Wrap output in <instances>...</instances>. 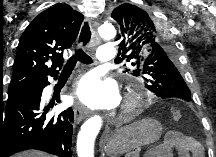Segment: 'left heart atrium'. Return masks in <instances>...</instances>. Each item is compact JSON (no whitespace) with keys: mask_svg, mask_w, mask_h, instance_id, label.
<instances>
[{"mask_svg":"<svg viewBox=\"0 0 216 157\" xmlns=\"http://www.w3.org/2000/svg\"><path fill=\"white\" fill-rule=\"evenodd\" d=\"M74 97L77 101L91 109L110 108L118 102L115 85L101 80L94 74L86 75L78 83Z\"/></svg>","mask_w":216,"mask_h":157,"instance_id":"left-heart-atrium-1","label":"left heart atrium"}]
</instances>
